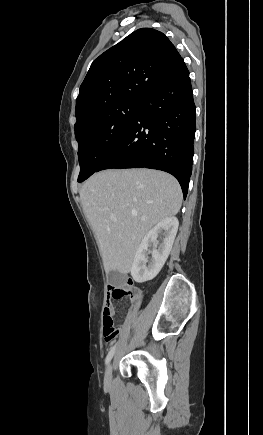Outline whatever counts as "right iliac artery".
Returning <instances> with one entry per match:
<instances>
[{"label":"right iliac artery","instance_id":"82829eb1","mask_svg":"<svg viewBox=\"0 0 263 435\" xmlns=\"http://www.w3.org/2000/svg\"><path fill=\"white\" fill-rule=\"evenodd\" d=\"M115 348H116V345L113 346V347H111V349H110V351H109V353H108V355H107V357H106V359H105V364H106V365H107V364L110 362V360L112 359V357H113V355H114V353H115Z\"/></svg>","mask_w":263,"mask_h":435}]
</instances>
